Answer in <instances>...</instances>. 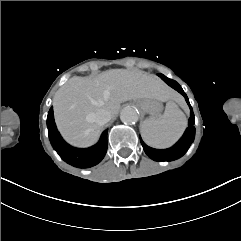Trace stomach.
I'll return each mask as SVG.
<instances>
[{
	"label": "stomach",
	"instance_id": "obj_1",
	"mask_svg": "<svg viewBox=\"0 0 241 241\" xmlns=\"http://www.w3.org/2000/svg\"><path fill=\"white\" fill-rule=\"evenodd\" d=\"M137 104L144 113H148L151 118L159 116L162 105L158 100L153 99H140L137 100Z\"/></svg>",
	"mask_w": 241,
	"mask_h": 241
}]
</instances>
